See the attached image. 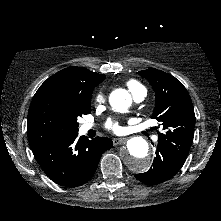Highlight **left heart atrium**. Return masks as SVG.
<instances>
[{"mask_svg": "<svg viewBox=\"0 0 221 221\" xmlns=\"http://www.w3.org/2000/svg\"><path fill=\"white\" fill-rule=\"evenodd\" d=\"M108 128L112 129L114 132H119L121 130L118 124H113V123H110L108 125Z\"/></svg>", "mask_w": 221, "mask_h": 221, "instance_id": "obj_1", "label": "left heart atrium"}]
</instances>
